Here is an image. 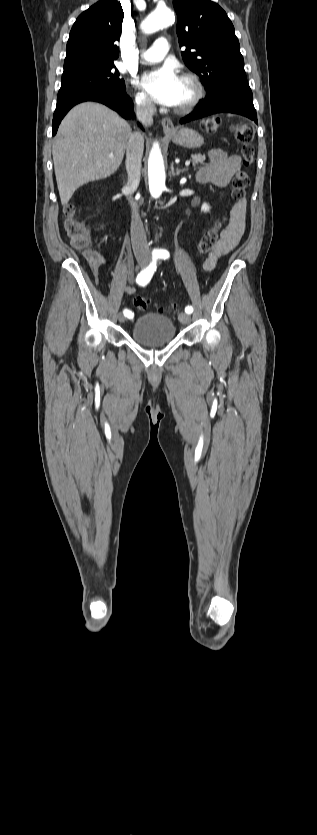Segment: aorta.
<instances>
[{
    "instance_id": "aorta-1",
    "label": "aorta",
    "mask_w": 317,
    "mask_h": 835,
    "mask_svg": "<svg viewBox=\"0 0 317 835\" xmlns=\"http://www.w3.org/2000/svg\"><path fill=\"white\" fill-rule=\"evenodd\" d=\"M175 20L173 11L168 7H158L150 12L142 21V30L145 34L157 32L160 28L172 24ZM165 167L164 161L156 142L153 144L148 158V180L149 190L153 197L158 198L165 188Z\"/></svg>"
}]
</instances>
